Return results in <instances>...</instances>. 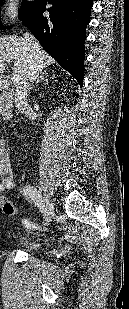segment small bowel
Segmentation results:
<instances>
[{
	"instance_id": "c3829d8e",
	"label": "small bowel",
	"mask_w": 129,
	"mask_h": 309,
	"mask_svg": "<svg viewBox=\"0 0 129 309\" xmlns=\"http://www.w3.org/2000/svg\"><path fill=\"white\" fill-rule=\"evenodd\" d=\"M1 173H7L8 168L5 164H2L0 167ZM14 185L13 178L11 176L7 177L3 183H0V190L4 188H11Z\"/></svg>"
}]
</instances>
